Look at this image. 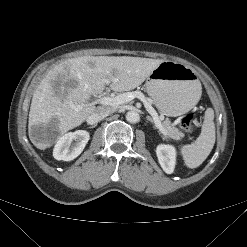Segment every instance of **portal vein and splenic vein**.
<instances>
[{
  "instance_id": "1",
  "label": "portal vein and splenic vein",
  "mask_w": 247,
  "mask_h": 247,
  "mask_svg": "<svg viewBox=\"0 0 247 247\" xmlns=\"http://www.w3.org/2000/svg\"><path fill=\"white\" fill-rule=\"evenodd\" d=\"M134 98L140 99L146 110L149 112V114L153 117L154 122L157 126V128L161 131V133L164 136H168L166 130L164 129L163 125L161 124V120L155 111V109L151 106V104L147 101L144 94L141 92H127L120 95H117L115 97H108V96H102L99 99H97V103L101 105H108V106H118L127 102H130ZM80 106H78L76 109H78Z\"/></svg>"
}]
</instances>
